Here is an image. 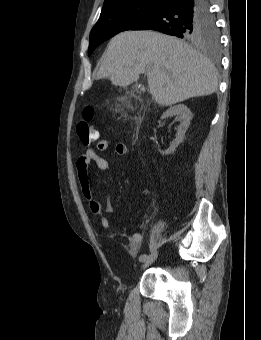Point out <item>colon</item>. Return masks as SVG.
<instances>
[{
  "mask_svg": "<svg viewBox=\"0 0 261 340\" xmlns=\"http://www.w3.org/2000/svg\"><path fill=\"white\" fill-rule=\"evenodd\" d=\"M96 117V110L88 106L83 111V120L77 125V134L83 145H88L98 139V131L93 124Z\"/></svg>",
  "mask_w": 261,
  "mask_h": 340,
  "instance_id": "1",
  "label": "colon"
}]
</instances>
